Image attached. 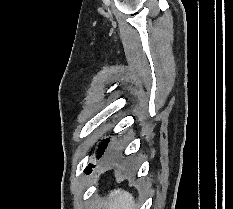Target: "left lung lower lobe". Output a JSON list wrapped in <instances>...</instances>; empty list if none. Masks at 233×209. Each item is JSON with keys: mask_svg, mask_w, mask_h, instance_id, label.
<instances>
[{"mask_svg": "<svg viewBox=\"0 0 233 209\" xmlns=\"http://www.w3.org/2000/svg\"><path fill=\"white\" fill-rule=\"evenodd\" d=\"M94 167H95L94 165L89 164V166L86 167V169H85V173L89 174L92 171V168H94Z\"/></svg>", "mask_w": 233, "mask_h": 209, "instance_id": "left-lung-lower-lobe-1", "label": "left lung lower lobe"}]
</instances>
